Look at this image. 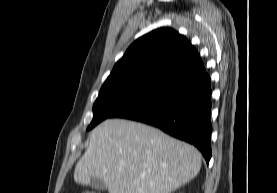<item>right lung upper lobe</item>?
<instances>
[{
  "mask_svg": "<svg viewBox=\"0 0 277 193\" xmlns=\"http://www.w3.org/2000/svg\"><path fill=\"white\" fill-rule=\"evenodd\" d=\"M188 40L171 28H160L137 39L115 64L101 89L155 91L203 68Z\"/></svg>",
  "mask_w": 277,
  "mask_h": 193,
  "instance_id": "cb5924a9",
  "label": "right lung upper lobe"
}]
</instances>
